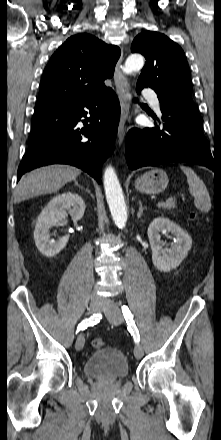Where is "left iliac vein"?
Wrapping results in <instances>:
<instances>
[{
    "label": "left iliac vein",
    "mask_w": 221,
    "mask_h": 440,
    "mask_svg": "<svg viewBox=\"0 0 221 440\" xmlns=\"http://www.w3.org/2000/svg\"><path fill=\"white\" fill-rule=\"evenodd\" d=\"M102 311L106 314L109 322L114 325H119L123 321V315L118 305L111 299H104L101 307ZM134 355L137 359L143 356V349L140 344H137L134 349Z\"/></svg>",
    "instance_id": "left-iliac-vein-1"
}]
</instances>
